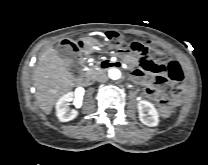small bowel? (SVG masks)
Segmentation results:
<instances>
[{"instance_id": "1", "label": "small bowel", "mask_w": 208, "mask_h": 165, "mask_svg": "<svg viewBox=\"0 0 208 165\" xmlns=\"http://www.w3.org/2000/svg\"><path fill=\"white\" fill-rule=\"evenodd\" d=\"M139 59L140 55L136 52L124 55L125 64L129 67H134ZM132 77L134 80L147 86L145 95L149 99L156 100L161 95L167 79L174 86L180 87L188 81L189 75L185 69V65L181 61H171L165 68V72L160 73L156 78L148 77L142 70H135L132 73Z\"/></svg>"}]
</instances>
